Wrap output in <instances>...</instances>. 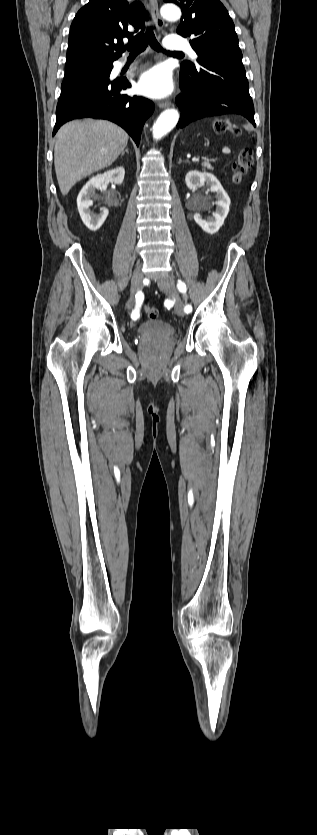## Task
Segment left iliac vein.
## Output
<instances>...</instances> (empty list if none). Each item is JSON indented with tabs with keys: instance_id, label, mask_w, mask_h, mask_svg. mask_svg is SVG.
<instances>
[{
	"instance_id": "left-iliac-vein-1",
	"label": "left iliac vein",
	"mask_w": 317,
	"mask_h": 835,
	"mask_svg": "<svg viewBox=\"0 0 317 835\" xmlns=\"http://www.w3.org/2000/svg\"><path fill=\"white\" fill-rule=\"evenodd\" d=\"M158 287L161 291L168 294L172 298L175 299V312L178 316H184V306L179 297L177 296L175 285L171 276H164L162 279L158 280Z\"/></svg>"
}]
</instances>
